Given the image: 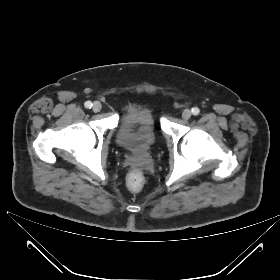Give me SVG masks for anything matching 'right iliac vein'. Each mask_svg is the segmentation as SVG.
I'll return each mask as SVG.
<instances>
[{"mask_svg": "<svg viewBox=\"0 0 280 280\" xmlns=\"http://www.w3.org/2000/svg\"><path fill=\"white\" fill-rule=\"evenodd\" d=\"M101 108H102V105L100 102H98V101L94 102L93 107H92L94 112H99L101 110Z\"/></svg>", "mask_w": 280, "mask_h": 280, "instance_id": "right-iliac-vein-1", "label": "right iliac vein"}]
</instances>
